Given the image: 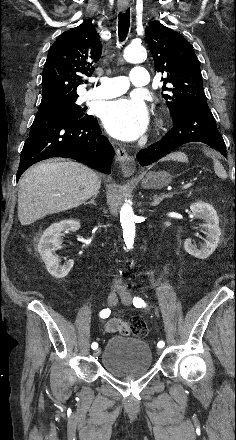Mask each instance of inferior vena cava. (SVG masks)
<instances>
[{
  "label": "inferior vena cava",
  "instance_id": "1",
  "mask_svg": "<svg viewBox=\"0 0 236 440\" xmlns=\"http://www.w3.org/2000/svg\"><path fill=\"white\" fill-rule=\"evenodd\" d=\"M120 284H121V282H120L119 280H114V282H113V286H114L115 288L120 287Z\"/></svg>",
  "mask_w": 236,
  "mask_h": 440
}]
</instances>
